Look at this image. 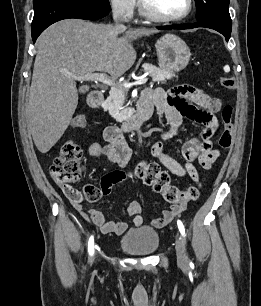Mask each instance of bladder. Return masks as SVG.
<instances>
[{
	"label": "bladder",
	"mask_w": 261,
	"mask_h": 306,
	"mask_svg": "<svg viewBox=\"0 0 261 306\" xmlns=\"http://www.w3.org/2000/svg\"><path fill=\"white\" fill-rule=\"evenodd\" d=\"M157 231L148 226L132 228L119 240L120 248L134 256H147L153 254L159 247Z\"/></svg>",
	"instance_id": "obj_1"
}]
</instances>
